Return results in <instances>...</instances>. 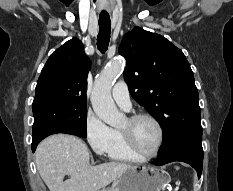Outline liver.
<instances>
[{
	"label": "liver",
	"instance_id": "liver-1",
	"mask_svg": "<svg viewBox=\"0 0 233 191\" xmlns=\"http://www.w3.org/2000/svg\"><path fill=\"white\" fill-rule=\"evenodd\" d=\"M87 145L78 137L54 134L37 147V170L50 191H100L121 176L130 164L108 162L91 166ZM68 175L69 179L64 181Z\"/></svg>",
	"mask_w": 233,
	"mask_h": 191
}]
</instances>
